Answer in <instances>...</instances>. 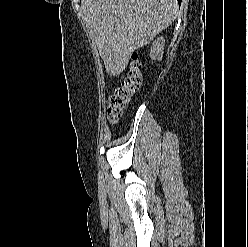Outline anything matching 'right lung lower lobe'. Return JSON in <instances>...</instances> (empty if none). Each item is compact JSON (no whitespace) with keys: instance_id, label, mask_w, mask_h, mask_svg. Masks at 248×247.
Listing matches in <instances>:
<instances>
[{"instance_id":"98d812e1","label":"right lung lower lobe","mask_w":248,"mask_h":247,"mask_svg":"<svg viewBox=\"0 0 248 247\" xmlns=\"http://www.w3.org/2000/svg\"><path fill=\"white\" fill-rule=\"evenodd\" d=\"M179 4H181V0H177Z\"/></svg>"}]
</instances>
